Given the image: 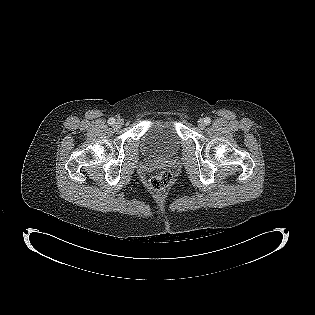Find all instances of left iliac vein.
<instances>
[{"mask_svg":"<svg viewBox=\"0 0 315 315\" xmlns=\"http://www.w3.org/2000/svg\"><path fill=\"white\" fill-rule=\"evenodd\" d=\"M198 126H199L200 128H204V127H205V122H204L203 119H199V120H198Z\"/></svg>","mask_w":315,"mask_h":315,"instance_id":"1","label":"left iliac vein"}]
</instances>
